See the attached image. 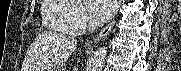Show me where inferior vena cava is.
<instances>
[{"instance_id":"obj_1","label":"inferior vena cava","mask_w":181,"mask_h":71,"mask_svg":"<svg viewBox=\"0 0 181 71\" xmlns=\"http://www.w3.org/2000/svg\"><path fill=\"white\" fill-rule=\"evenodd\" d=\"M91 30H95L96 29V24L95 23H91V26H90Z\"/></svg>"}]
</instances>
